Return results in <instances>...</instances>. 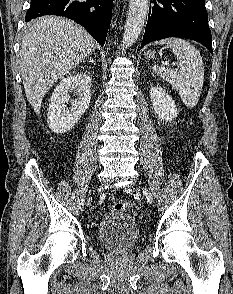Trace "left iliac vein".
Returning <instances> with one entry per match:
<instances>
[{"instance_id":"obj_1","label":"left iliac vein","mask_w":233,"mask_h":294,"mask_svg":"<svg viewBox=\"0 0 233 294\" xmlns=\"http://www.w3.org/2000/svg\"><path fill=\"white\" fill-rule=\"evenodd\" d=\"M125 191H131V188L130 187H125ZM134 192L136 193V194H140V192H139V190L138 189H134Z\"/></svg>"}]
</instances>
